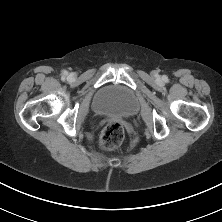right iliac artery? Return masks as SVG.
I'll return each mask as SVG.
<instances>
[{"label":"right iliac artery","mask_w":222,"mask_h":222,"mask_svg":"<svg viewBox=\"0 0 222 222\" xmlns=\"http://www.w3.org/2000/svg\"><path fill=\"white\" fill-rule=\"evenodd\" d=\"M66 75H67V72H66V71H64V72H63V76L65 77Z\"/></svg>","instance_id":"1"}]
</instances>
